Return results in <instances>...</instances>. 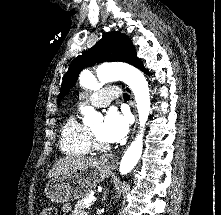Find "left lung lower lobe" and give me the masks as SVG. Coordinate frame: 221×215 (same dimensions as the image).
Returning <instances> with one entry per match:
<instances>
[{
    "label": "left lung lower lobe",
    "instance_id": "1",
    "mask_svg": "<svg viewBox=\"0 0 221 215\" xmlns=\"http://www.w3.org/2000/svg\"><path fill=\"white\" fill-rule=\"evenodd\" d=\"M144 72H146L148 74V71L146 69L143 70Z\"/></svg>",
    "mask_w": 221,
    "mask_h": 215
}]
</instances>
